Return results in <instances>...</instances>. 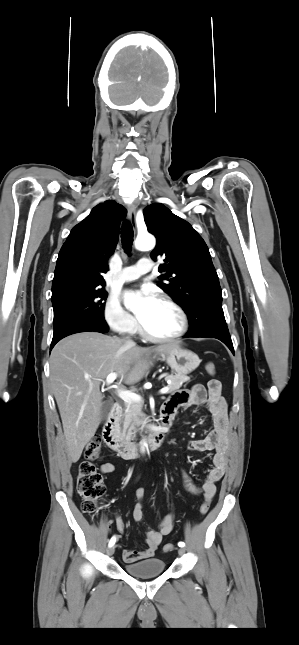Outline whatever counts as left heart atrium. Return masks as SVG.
I'll use <instances>...</instances> for the list:
<instances>
[{
  "label": "left heart atrium",
  "mask_w": 299,
  "mask_h": 645,
  "mask_svg": "<svg viewBox=\"0 0 299 645\" xmlns=\"http://www.w3.org/2000/svg\"><path fill=\"white\" fill-rule=\"evenodd\" d=\"M138 295L140 296V299H141L142 314H145L148 311H150L158 301L154 292L147 287L141 289L138 292Z\"/></svg>",
  "instance_id": "obj_1"
}]
</instances>
